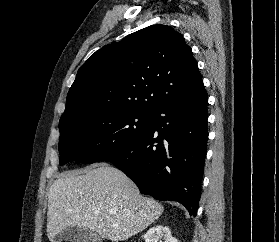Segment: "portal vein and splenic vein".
<instances>
[{
  "label": "portal vein and splenic vein",
  "instance_id": "obj_1",
  "mask_svg": "<svg viewBox=\"0 0 279 242\" xmlns=\"http://www.w3.org/2000/svg\"><path fill=\"white\" fill-rule=\"evenodd\" d=\"M117 226H118L117 224L114 225V227H117Z\"/></svg>",
  "mask_w": 279,
  "mask_h": 242
}]
</instances>
